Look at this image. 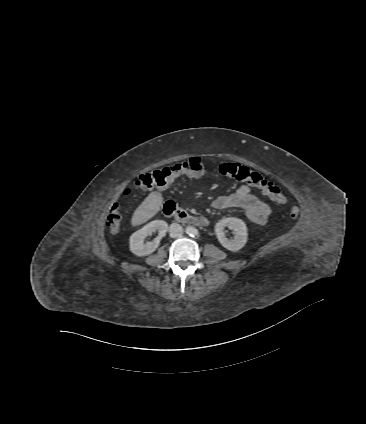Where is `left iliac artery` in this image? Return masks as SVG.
<instances>
[{
	"mask_svg": "<svg viewBox=\"0 0 366 424\" xmlns=\"http://www.w3.org/2000/svg\"><path fill=\"white\" fill-rule=\"evenodd\" d=\"M196 236H198V231L197 230H194L193 231V237H196Z\"/></svg>",
	"mask_w": 366,
	"mask_h": 424,
	"instance_id": "left-iliac-artery-1",
	"label": "left iliac artery"
}]
</instances>
